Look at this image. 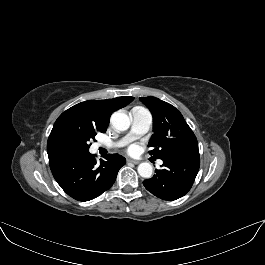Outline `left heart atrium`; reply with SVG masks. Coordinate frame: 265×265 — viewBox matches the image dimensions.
I'll use <instances>...</instances> for the list:
<instances>
[{
    "instance_id": "left-heart-atrium-1",
    "label": "left heart atrium",
    "mask_w": 265,
    "mask_h": 265,
    "mask_svg": "<svg viewBox=\"0 0 265 265\" xmlns=\"http://www.w3.org/2000/svg\"><path fill=\"white\" fill-rule=\"evenodd\" d=\"M135 149H136L135 146H132V147L130 148V150H132V151H134Z\"/></svg>"
}]
</instances>
